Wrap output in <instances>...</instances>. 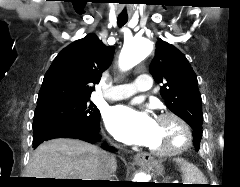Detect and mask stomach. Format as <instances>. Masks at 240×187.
<instances>
[{
  "label": "stomach",
  "instance_id": "1",
  "mask_svg": "<svg viewBox=\"0 0 240 187\" xmlns=\"http://www.w3.org/2000/svg\"><path fill=\"white\" fill-rule=\"evenodd\" d=\"M152 167L155 169L157 173H160L163 171V166L159 163H153Z\"/></svg>",
  "mask_w": 240,
  "mask_h": 187
}]
</instances>
